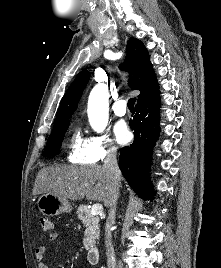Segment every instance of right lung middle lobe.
Wrapping results in <instances>:
<instances>
[{"mask_svg": "<svg viewBox=\"0 0 221 268\" xmlns=\"http://www.w3.org/2000/svg\"><path fill=\"white\" fill-rule=\"evenodd\" d=\"M68 126L69 121L54 126L53 131L49 136L45 150L42 153L43 156H53L58 152Z\"/></svg>", "mask_w": 221, "mask_h": 268, "instance_id": "obj_1", "label": "right lung middle lobe"}]
</instances>
